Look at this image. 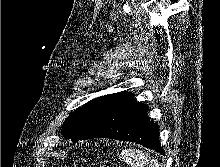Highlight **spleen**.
<instances>
[{
    "label": "spleen",
    "instance_id": "3e777b00",
    "mask_svg": "<svg viewBox=\"0 0 220 167\" xmlns=\"http://www.w3.org/2000/svg\"><path fill=\"white\" fill-rule=\"evenodd\" d=\"M122 160L131 167H160L156 158L147 152L134 148L125 149L121 153Z\"/></svg>",
    "mask_w": 220,
    "mask_h": 167
}]
</instances>
